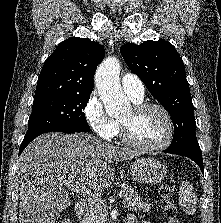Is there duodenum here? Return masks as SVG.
<instances>
[{"instance_id":"obj_1","label":"duodenum","mask_w":221,"mask_h":223,"mask_svg":"<svg viewBox=\"0 0 221 223\" xmlns=\"http://www.w3.org/2000/svg\"><path fill=\"white\" fill-rule=\"evenodd\" d=\"M89 209L88 204L85 201H78L76 205V215L77 217L82 220L85 215L87 214Z\"/></svg>"}]
</instances>
